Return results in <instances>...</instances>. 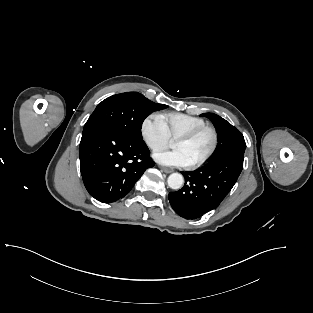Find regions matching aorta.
I'll list each match as a JSON object with an SVG mask.
<instances>
[{
    "instance_id": "obj_1",
    "label": "aorta",
    "mask_w": 313,
    "mask_h": 313,
    "mask_svg": "<svg viewBox=\"0 0 313 313\" xmlns=\"http://www.w3.org/2000/svg\"><path fill=\"white\" fill-rule=\"evenodd\" d=\"M167 182H168V186L171 189L178 190L182 187V185L184 183V178L180 173H172L168 177Z\"/></svg>"
}]
</instances>
